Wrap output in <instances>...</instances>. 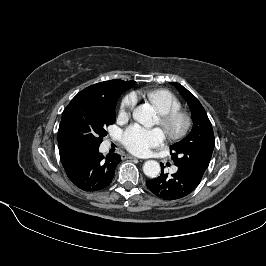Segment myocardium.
Here are the masks:
<instances>
[{"mask_svg": "<svg viewBox=\"0 0 266 266\" xmlns=\"http://www.w3.org/2000/svg\"><path fill=\"white\" fill-rule=\"evenodd\" d=\"M160 124L170 139L179 140L191 129L192 118L187 112L176 110L161 114Z\"/></svg>", "mask_w": 266, "mask_h": 266, "instance_id": "1", "label": "myocardium"}]
</instances>
